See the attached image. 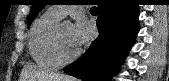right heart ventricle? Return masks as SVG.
<instances>
[{
	"label": "right heart ventricle",
	"mask_w": 169,
	"mask_h": 81,
	"mask_svg": "<svg viewBox=\"0 0 169 81\" xmlns=\"http://www.w3.org/2000/svg\"><path fill=\"white\" fill-rule=\"evenodd\" d=\"M61 16L52 8L45 11L33 24L28 48L33 61L44 68H57L59 62L52 51V35Z\"/></svg>",
	"instance_id": "obj_1"
}]
</instances>
